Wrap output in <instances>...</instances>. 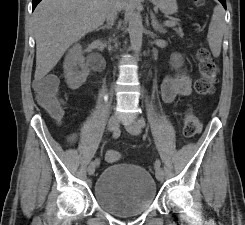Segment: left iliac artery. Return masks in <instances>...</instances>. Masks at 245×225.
<instances>
[{"mask_svg":"<svg viewBox=\"0 0 245 225\" xmlns=\"http://www.w3.org/2000/svg\"><path fill=\"white\" fill-rule=\"evenodd\" d=\"M139 124L141 125V127H145L146 123L144 118H140L139 119ZM161 166V161L160 160H156L154 163V169L157 171V169H159Z\"/></svg>","mask_w":245,"mask_h":225,"instance_id":"1","label":"left iliac artery"}]
</instances>
